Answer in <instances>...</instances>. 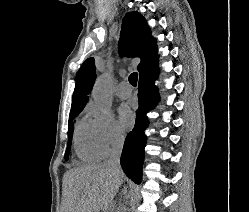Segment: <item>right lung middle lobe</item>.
<instances>
[{"instance_id":"dd1d6c3e","label":"right lung middle lobe","mask_w":249,"mask_h":212,"mask_svg":"<svg viewBox=\"0 0 249 212\" xmlns=\"http://www.w3.org/2000/svg\"><path fill=\"white\" fill-rule=\"evenodd\" d=\"M82 110L83 109L71 110V112H70L69 125H68V145H67V149H66V152H65V160H68V158H69L71 141H72V133H73V130H74V122H73V120L78 116V114Z\"/></svg>"}]
</instances>
